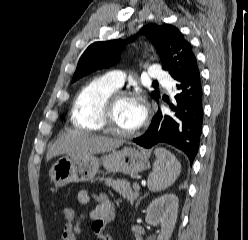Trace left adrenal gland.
<instances>
[{"label":"left adrenal gland","mask_w":248,"mask_h":240,"mask_svg":"<svg viewBox=\"0 0 248 240\" xmlns=\"http://www.w3.org/2000/svg\"><path fill=\"white\" fill-rule=\"evenodd\" d=\"M146 195H147V193L139 198V200H138V201L136 202V204H135V208L138 207V205L140 204V201H141L144 197H146Z\"/></svg>","instance_id":"obj_1"}]
</instances>
